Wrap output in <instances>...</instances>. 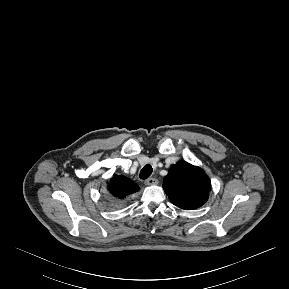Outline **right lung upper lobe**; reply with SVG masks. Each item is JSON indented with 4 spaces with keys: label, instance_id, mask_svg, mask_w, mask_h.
I'll return each instance as SVG.
<instances>
[{
    "label": "right lung upper lobe",
    "instance_id": "cb5924a9",
    "mask_svg": "<svg viewBox=\"0 0 289 289\" xmlns=\"http://www.w3.org/2000/svg\"><path fill=\"white\" fill-rule=\"evenodd\" d=\"M108 189L114 197L124 199L126 196L138 191L139 186L125 176L114 174L109 181Z\"/></svg>",
    "mask_w": 289,
    "mask_h": 289
}]
</instances>
